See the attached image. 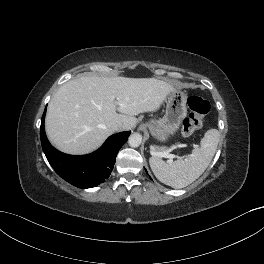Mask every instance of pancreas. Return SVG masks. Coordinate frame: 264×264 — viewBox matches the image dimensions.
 I'll use <instances>...</instances> for the list:
<instances>
[{
  "instance_id": "cf45deb5",
  "label": "pancreas",
  "mask_w": 264,
  "mask_h": 264,
  "mask_svg": "<svg viewBox=\"0 0 264 264\" xmlns=\"http://www.w3.org/2000/svg\"><path fill=\"white\" fill-rule=\"evenodd\" d=\"M156 150L159 151V152L167 151V149L164 148V147H157Z\"/></svg>"
}]
</instances>
